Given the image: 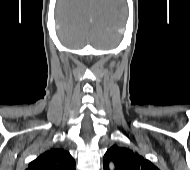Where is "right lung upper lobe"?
Here are the masks:
<instances>
[{
  "label": "right lung upper lobe",
  "mask_w": 190,
  "mask_h": 170,
  "mask_svg": "<svg viewBox=\"0 0 190 170\" xmlns=\"http://www.w3.org/2000/svg\"><path fill=\"white\" fill-rule=\"evenodd\" d=\"M26 170H75V160L64 149L52 148L32 161Z\"/></svg>",
  "instance_id": "obj_1"
}]
</instances>
